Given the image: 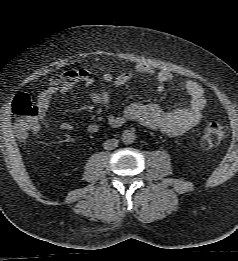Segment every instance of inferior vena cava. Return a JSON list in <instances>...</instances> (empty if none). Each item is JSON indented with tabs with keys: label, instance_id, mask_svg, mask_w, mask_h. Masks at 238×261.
<instances>
[{
	"label": "inferior vena cava",
	"instance_id": "602c4592",
	"mask_svg": "<svg viewBox=\"0 0 238 261\" xmlns=\"http://www.w3.org/2000/svg\"><path fill=\"white\" fill-rule=\"evenodd\" d=\"M118 143L119 141L117 139H108L103 143L104 149L113 150L118 146Z\"/></svg>",
	"mask_w": 238,
	"mask_h": 261
}]
</instances>
